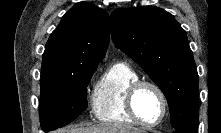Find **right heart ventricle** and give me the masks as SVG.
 <instances>
[{
	"label": "right heart ventricle",
	"instance_id": "e07e8e85",
	"mask_svg": "<svg viewBox=\"0 0 221 133\" xmlns=\"http://www.w3.org/2000/svg\"><path fill=\"white\" fill-rule=\"evenodd\" d=\"M139 80L138 73L128 63L111 65L94 87L91 97L94 116L106 123L135 124L126 108V93Z\"/></svg>",
	"mask_w": 221,
	"mask_h": 133
}]
</instances>
